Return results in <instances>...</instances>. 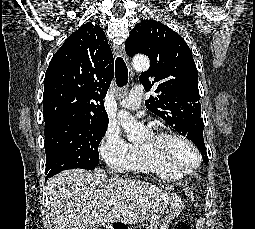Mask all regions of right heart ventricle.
Here are the masks:
<instances>
[{"label": "right heart ventricle", "mask_w": 255, "mask_h": 229, "mask_svg": "<svg viewBox=\"0 0 255 229\" xmlns=\"http://www.w3.org/2000/svg\"><path fill=\"white\" fill-rule=\"evenodd\" d=\"M124 169L132 172L152 174L168 180L180 179L189 174L186 172H173L169 170L159 159L154 157L144 145H131Z\"/></svg>", "instance_id": "e07e8e85"}]
</instances>
